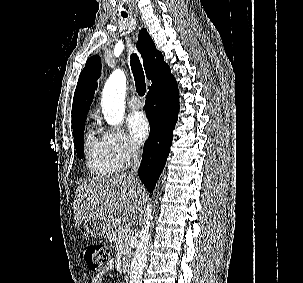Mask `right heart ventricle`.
Returning <instances> with one entry per match:
<instances>
[{"label": "right heart ventricle", "instance_id": "e07e8e85", "mask_svg": "<svg viewBox=\"0 0 303 283\" xmlns=\"http://www.w3.org/2000/svg\"><path fill=\"white\" fill-rule=\"evenodd\" d=\"M86 162L89 170L96 175L109 176L117 173L122 165L110 154L101 138L90 130L85 139Z\"/></svg>", "mask_w": 303, "mask_h": 283}]
</instances>
